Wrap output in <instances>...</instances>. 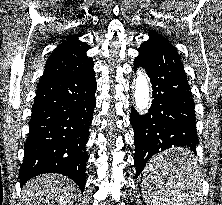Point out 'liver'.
<instances>
[{
    "mask_svg": "<svg viewBox=\"0 0 222 205\" xmlns=\"http://www.w3.org/2000/svg\"><path fill=\"white\" fill-rule=\"evenodd\" d=\"M78 187L69 178L58 174L40 175L23 188V205H72Z\"/></svg>",
    "mask_w": 222,
    "mask_h": 205,
    "instance_id": "1",
    "label": "liver"
}]
</instances>
